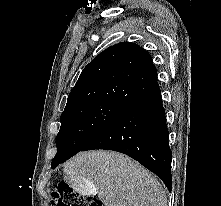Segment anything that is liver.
<instances>
[{"label":"liver","instance_id":"1","mask_svg":"<svg viewBox=\"0 0 221 206\" xmlns=\"http://www.w3.org/2000/svg\"><path fill=\"white\" fill-rule=\"evenodd\" d=\"M63 171L73 188H81L83 182L94 187L104 206H167L157 178L124 154L81 152L64 165Z\"/></svg>","mask_w":221,"mask_h":206}]
</instances>
